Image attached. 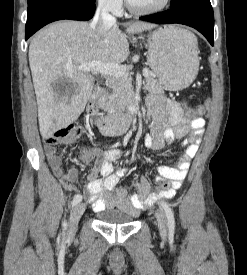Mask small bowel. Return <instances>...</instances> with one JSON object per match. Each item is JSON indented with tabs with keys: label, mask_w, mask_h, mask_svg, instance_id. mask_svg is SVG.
<instances>
[{
	"label": "small bowel",
	"mask_w": 247,
	"mask_h": 275,
	"mask_svg": "<svg viewBox=\"0 0 247 275\" xmlns=\"http://www.w3.org/2000/svg\"><path fill=\"white\" fill-rule=\"evenodd\" d=\"M147 105L152 113L153 122L150 133L144 137V145L148 149L160 150L165 144H173L178 138L189 134L184 141V154L175 167L161 165L158 167L157 181L170 180L169 188L150 193L149 183L139 178L135 184V193L127 189H116L126 170H114V162L119 158L118 149L102 150L99 148L83 149L80 158L83 163L95 162V167L87 177L86 200L95 211L118 209L134 215L158 199L173 197L185 179L190 161L196 156L200 138L204 132L205 120L202 117L189 119L180 105L160 95L152 94L147 98ZM45 152L53 173L68 191H77L73 182L78 172L72 167L65 171L62 159L54 146L46 145Z\"/></svg>",
	"instance_id": "1"
}]
</instances>
